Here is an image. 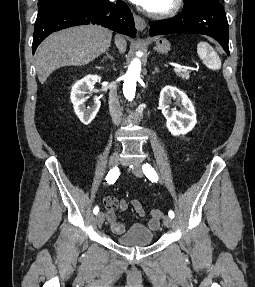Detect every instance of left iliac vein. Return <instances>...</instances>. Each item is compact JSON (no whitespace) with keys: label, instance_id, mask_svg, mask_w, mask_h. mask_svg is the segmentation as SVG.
<instances>
[{"label":"left iliac vein","instance_id":"1","mask_svg":"<svg viewBox=\"0 0 255 287\" xmlns=\"http://www.w3.org/2000/svg\"><path fill=\"white\" fill-rule=\"evenodd\" d=\"M132 172L137 177H142L143 176V172L141 170V166L140 165H135L132 168ZM163 224L165 225V227L170 228L172 226V219L169 216H164Z\"/></svg>","mask_w":255,"mask_h":287}]
</instances>
